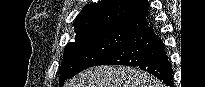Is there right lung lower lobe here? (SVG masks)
Here are the masks:
<instances>
[{
	"mask_svg": "<svg viewBox=\"0 0 205 87\" xmlns=\"http://www.w3.org/2000/svg\"><path fill=\"white\" fill-rule=\"evenodd\" d=\"M126 65L138 67L172 86L173 70L163 42L151 25L133 33L127 40L102 57L93 66Z\"/></svg>",
	"mask_w": 205,
	"mask_h": 87,
	"instance_id": "98d812e1",
	"label": "right lung lower lobe"
}]
</instances>
